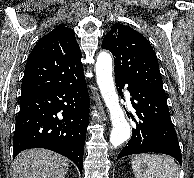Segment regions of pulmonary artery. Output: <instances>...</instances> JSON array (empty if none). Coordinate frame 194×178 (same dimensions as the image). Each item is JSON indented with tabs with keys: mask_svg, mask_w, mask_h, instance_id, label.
Returning <instances> with one entry per match:
<instances>
[{
	"mask_svg": "<svg viewBox=\"0 0 194 178\" xmlns=\"http://www.w3.org/2000/svg\"><path fill=\"white\" fill-rule=\"evenodd\" d=\"M126 96H127V98H129V97H130V95H129V93H128V92H126Z\"/></svg>",
	"mask_w": 194,
	"mask_h": 178,
	"instance_id": "obj_1",
	"label": "pulmonary artery"
}]
</instances>
